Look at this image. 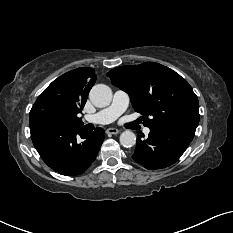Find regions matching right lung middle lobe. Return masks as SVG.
Segmentation results:
<instances>
[{
  "label": "right lung middle lobe",
  "instance_id": "right-lung-middle-lobe-1",
  "mask_svg": "<svg viewBox=\"0 0 233 233\" xmlns=\"http://www.w3.org/2000/svg\"><path fill=\"white\" fill-rule=\"evenodd\" d=\"M36 126L47 129H61L68 127L63 119L56 112L53 111H48L44 113L40 117Z\"/></svg>",
  "mask_w": 233,
  "mask_h": 233
}]
</instances>
